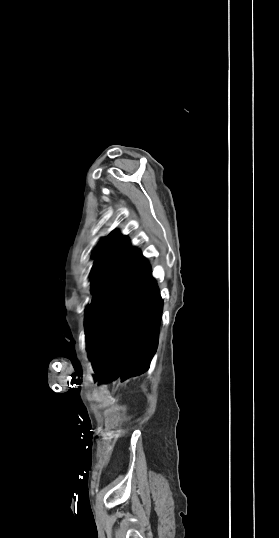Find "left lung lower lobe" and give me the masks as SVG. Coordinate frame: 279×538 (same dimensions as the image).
Listing matches in <instances>:
<instances>
[{"label":"left lung lower lobe","instance_id":"left-lung-lower-lobe-1","mask_svg":"<svg viewBox=\"0 0 279 538\" xmlns=\"http://www.w3.org/2000/svg\"><path fill=\"white\" fill-rule=\"evenodd\" d=\"M163 301L140 251L86 307L88 352L100 382L144 373L157 350Z\"/></svg>","mask_w":279,"mask_h":538}]
</instances>
